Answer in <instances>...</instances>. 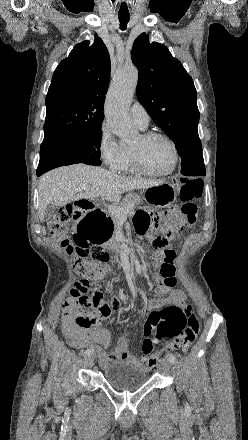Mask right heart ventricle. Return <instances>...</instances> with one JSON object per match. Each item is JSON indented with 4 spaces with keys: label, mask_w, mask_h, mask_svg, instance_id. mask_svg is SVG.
Listing matches in <instances>:
<instances>
[{
    "label": "right heart ventricle",
    "mask_w": 248,
    "mask_h": 440,
    "mask_svg": "<svg viewBox=\"0 0 248 440\" xmlns=\"http://www.w3.org/2000/svg\"><path fill=\"white\" fill-rule=\"evenodd\" d=\"M140 129H145V128H140ZM123 149H124V159L120 167L117 169V171L127 174L137 173L132 159V147L123 146Z\"/></svg>",
    "instance_id": "obj_1"
}]
</instances>
